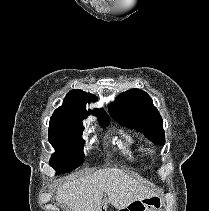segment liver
<instances>
[{"label":"liver","instance_id":"obj_1","mask_svg":"<svg viewBox=\"0 0 209 211\" xmlns=\"http://www.w3.org/2000/svg\"><path fill=\"white\" fill-rule=\"evenodd\" d=\"M103 193L108 194V202L118 210L155 195L125 171L105 168L61 183L56 191V201L71 211H102Z\"/></svg>","mask_w":209,"mask_h":211}]
</instances>
